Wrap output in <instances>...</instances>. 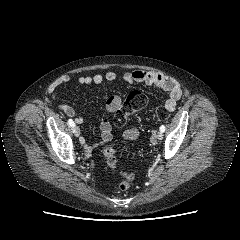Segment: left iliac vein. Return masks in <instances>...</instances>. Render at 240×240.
<instances>
[{
    "instance_id": "1",
    "label": "left iliac vein",
    "mask_w": 240,
    "mask_h": 240,
    "mask_svg": "<svg viewBox=\"0 0 240 240\" xmlns=\"http://www.w3.org/2000/svg\"><path fill=\"white\" fill-rule=\"evenodd\" d=\"M156 138L158 140H161L163 138V133L161 131H159L157 134H156Z\"/></svg>"
}]
</instances>
